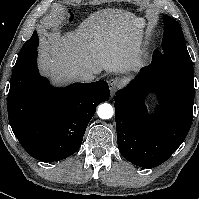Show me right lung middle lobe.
<instances>
[{
    "instance_id": "dd1d6c3e",
    "label": "right lung middle lobe",
    "mask_w": 199,
    "mask_h": 199,
    "mask_svg": "<svg viewBox=\"0 0 199 199\" xmlns=\"http://www.w3.org/2000/svg\"><path fill=\"white\" fill-rule=\"evenodd\" d=\"M38 43L39 42H38L37 32L34 31L32 37L23 45V47L18 55L16 64L20 63L21 61H23L25 59V57H27L29 54L34 52L38 47Z\"/></svg>"
}]
</instances>
